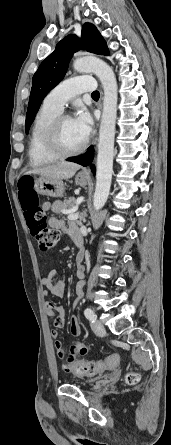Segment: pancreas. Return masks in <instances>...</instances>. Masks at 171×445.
<instances>
[{"label":"pancreas","mask_w":171,"mask_h":445,"mask_svg":"<svg viewBox=\"0 0 171 445\" xmlns=\"http://www.w3.org/2000/svg\"><path fill=\"white\" fill-rule=\"evenodd\" d=\"M75 204V200L71 199V200H64L62 201H55L52 205V211L56 214H61L63 213L64 210H68L73 208Z\"/></svg>","instance_id":"obj_1"}]
</instances>
